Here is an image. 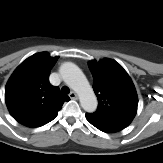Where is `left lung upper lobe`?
<instances>
[{
  "instance_id": "5c2ea615",
  "label": "left lung upper lobe",
  "mask_w": 163,
  "mask_h": 163,
  "mask_svg": "<svg viewBox=\"0 0 163 163\" xmlns=\"http://www.w3.org/2000/svg\"><path fill=\"white\" fill-rule=\"evenodd\" d=\"M89 68L99 103L98 109L87 115L99 120L131 123L137 112L138 97L126 71L116 61L108 58L98 62L90 61Z\"/></svg>"
}]
</instances>
